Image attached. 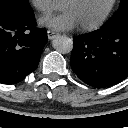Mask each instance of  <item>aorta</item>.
Segmentation results:
<instances>
[{"label":"aorta","mask_w":128,"mask_h":128,"mask_svg":"<svg viewBox=\"0 0 128 128\" xmlns=\"http://www.w3.org/2000/svg\"><path fill=\"white\" fill-rule=\"evenodd\" d=\"M52 45L53 48L61 54H68L73 49L72 39L65 35L57 36L56 38H54L52 41Z\"/></svg>","instance_id":"aorta-1"}]
</instances>
